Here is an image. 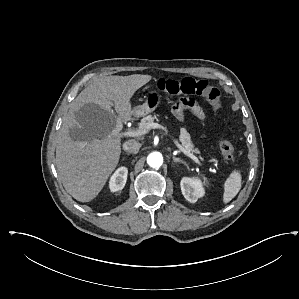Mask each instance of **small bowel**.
<instances>
[{"label":"small bowel","instance_id":"1","mask_svg":"<svg viewBox=\"0 0 299 299\" xmlns=\"http://www.w3.org/2000/svg\"><path fill=\"white\" fill-rule=\"evenodd\" d=\"M186 110L191 111L195 117L200 120L205 119V114L201 107L192 99H181L176 102L172 107V113L178 120L184 119Z\"/></svg>","mask_w":299,"mask_h":299}]
</instances>
